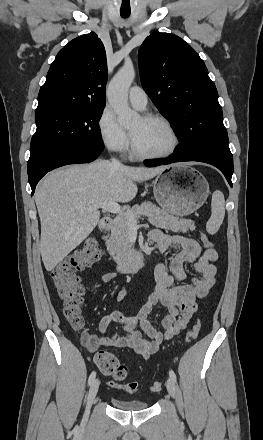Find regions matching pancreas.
<instances>
[{"instance_id":"1","label":"pancreas","mask_w":263,"mask_h":440,"mask_svg":"<svg viewBox=\"0 0 263 440\" xmlns=\"http://www.w3.org/2000/svg\"><path fill=\"white\" fill-rule=\"evenodd\" d=\"M145 212L149 214V222L159 228L173 232L187 233L195 230L194 222L190 219H179L166 211L156 207L151 202H143L140 206L128 208L126 213L132 214L137 221ZM129 220L125 215L114 219L111 233L106 240L107 250L117 264H123L135 258L136 252L130 241Z\"/></svg>"}]
</instances>
